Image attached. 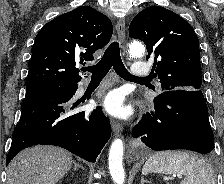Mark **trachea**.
Masks as SVG:
<instances>
[{
  "instance_id": "3493384b",
  "label": "trachea",
  "mask_w": 224,
  "mask_h": 184,
  "mask_svg": "<svg viewBox=\"0 0 224 184\" xmlns=\"http://www.w3.org/2000/svg\"><path fill=\"white\" fill-rule=\"evenodd\" d=\"M111 67L123 79L128 81H146L147 78L133 77L125 68L121 56L118 42H112L106 49L101 60L94 66L85 67V71L92 73V79H103Z\"/></svg>"
}]
</instances>
